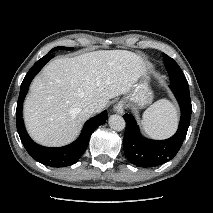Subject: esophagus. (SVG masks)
<instances>
[{"mask_svg":"<svg viewBox=\"0 0 213 213\" xmlns=\"http://www.w3.org/2000/svg\"><path fill=\"white\" fill-rule=\"evenodd\" d=\"M124 109H125V103L123 101H119L114 106V111L119 114H122L124 112Z\"/></svg>","mask_w":213,"mask_h":213,"instance_id":"34e87169","label":"esophagus"}]
</instances>
